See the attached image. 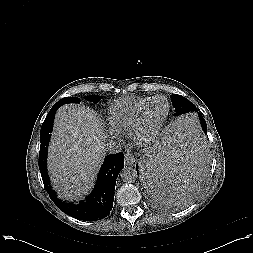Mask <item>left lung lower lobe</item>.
<instances>
[{
    "mask_svg": "<svg viewBox=\"0 0 253 253\" xmlns=\"http://www.w3.org/2000/svg\"><path fill=\"white\" fill-rule=\"evenodd\" d=\"M199 117L207 134L206 122L201 115ZM179 149L170 156L166 153L154 155L149 172L141 170L150 201L162 209L175 207L193 196L207 168V157L200 140ZM136 170L139 171L138 165Z\"/></svg>",
    "mask_w": 253,
    "mask_h": 253,
    "instance_id": "left-lung-lower-lobe-1",
    "label": "left lung lower lobe"
}]
</instances>
